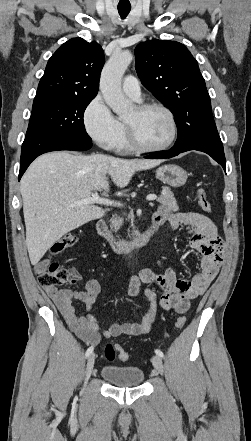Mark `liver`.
<instances>
[{
	"label": "liver",
	"instance_id": "liver-1",
	"mask_svg": "<svg viewBox=\"0 0 251 441\" xmlns=\"http://www.w3.org/2000/svg\"><path fill=\"white\" fill-rule=\"evenodd\" d=\"M162 160H128L103 154L81 155L63 151L39 156L23 175L20 192L26 226V245L32 265L66 233L102 217L94 204L76 205L93 191L108 196L113 183L127 186L135 172L158 166Z\"/></svg>",
	"mask_w": 251,
	"mask_h": 441
}]
</instances>
